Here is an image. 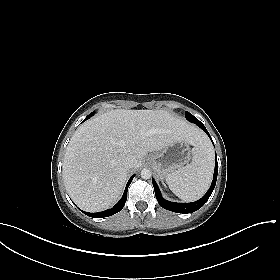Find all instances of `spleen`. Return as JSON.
<instances>
[{
  "mask_svg": "<svg viewBox=\"0 0 280 280\" xmlns=\"http://www.w3.org/2000/svg\"><path fill=\"white\" fill-rule=\"evenodd\" d=\"M190 164L166 176L170 190L183 201H195L208 190L214 169L211 145L205 141L192 149Z\"/></svg>",
  "mask_w": 280,
  "mask_h": 280,
  "instance_id": "obj_1",
  "label": "spleen"
}]
</instances>
